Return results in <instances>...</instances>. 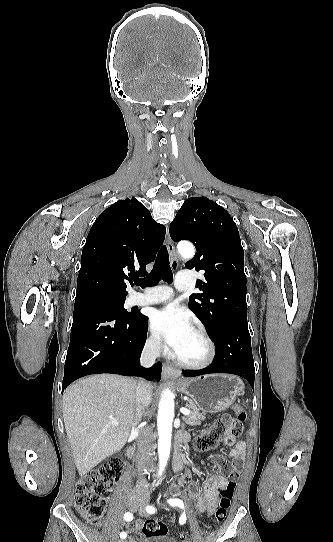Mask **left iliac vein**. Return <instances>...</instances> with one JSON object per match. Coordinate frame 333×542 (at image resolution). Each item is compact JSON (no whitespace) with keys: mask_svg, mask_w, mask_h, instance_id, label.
Here are the masks:
<instances>
[{"mask_svg":"<svg viewBox=\"0 0 333 542\" xmlns=\"http://www.w3.org/2000/svg\"><path fill=\"white\" fill-rule=\"evenodd\" d=\"M142 502H143V505L139 507L138 512H139V514H140L141 516H147V512H146V510L144 509V504H147V503H148V498L145 497V498L142 500Z\"/></svg>","mask_w":333,"mask_h":542,"instance_id":"4c4485c4","label":"left iliac vein"}]
</instances>
